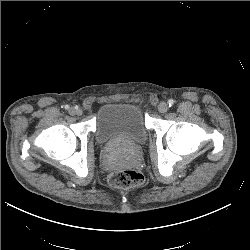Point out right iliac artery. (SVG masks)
I'll return each mask as SVG.
<instances>
[{"label": "right iliac artery", "instance_id": "right-iliac-artery-1", "mask_svg": "<svg viewBox=\"0 0 250 250\" xmlns=\"http://www.w3.org/2000/svg\"><path fill=\"white\" fill-rule=\"evenodd\" d=\"M69 108V106L68 105H65V109H68Z\"/></svg>", "mask_w": 250, "mask_h": 250}]
</instances>
